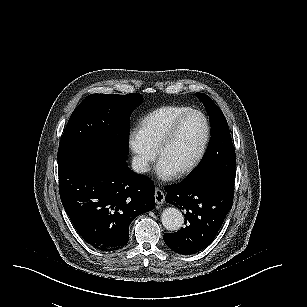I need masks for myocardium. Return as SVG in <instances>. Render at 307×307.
Segmentation results:
<instances>
[{
    "label": "myocardium",
    "instance_id": "obj_1",
    "mask_svg": "<svg viewBox=\"0 0 307 307\" xmlns=\"http://www.w3.org/2000/svg\"><path fill=\"white\" fill-rule=\"evenodd\" d=\"M197 117L198 120L201 122V129L202 130V139L200 142V146L198 148V151L196 153V155L194 156V158L192 159V161L189 164H185L183 167L178 168L175 167L173 169V173H188L190 170H192L195 165L197 164V162L199 161V159L202 157L205 148H206V142H207V127H206V115L203 112H200L199 110H187L184 113H182L179 118H176L174 120V123L176 124V126H172L169 131L165 134V138L161 139V144L162 146L160 147V149L158 150V154H157V158L159 161V158L161 156L165 155V148L166 146L170 145V141H172V138L174 136H176V133L178 132V128H182L183 127V123H186L187 120L190 117Z\"/></svg>",
    "mask_w": 307,
    "mask_h": 307
}]
</instances>
